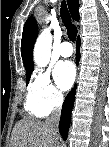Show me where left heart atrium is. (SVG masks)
Segmentation results:
<instances>
[{
	"instance_id": "left-heart-atrium-1",
	"label": "left heart atrium",
	"mask_w": 109,
	"mask_h": 147,
	"mask_svg": "<svg viewBox=\"0 0 109 147\" xmlns=\"http://www.w3.org/2000/svg\"><path fill=\"white\" fill-rule=\"evenodd\" d=\"M54 79L62 90L69 89L75 79V68L71 62H60L54 69Z\"/></svg>"
}]
</instances>
